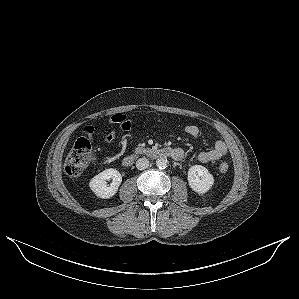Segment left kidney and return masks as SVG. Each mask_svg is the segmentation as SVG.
<instances>
[{"mask_svg":"<svg viewBox=\"0 0 299 299\" xmlns=\"http://www.w3.org/2000/svg\"><path fill=\"white\" fill-rule=\"evenodd\" d=\"M188 183L195 192L206 193L214 184L213 175L201 165H194L188 170Z\"/></svg>","mask_w":299,"mask_h":299,"instance_id":"5707ae66","label":"left kidney"}]
</instances>
